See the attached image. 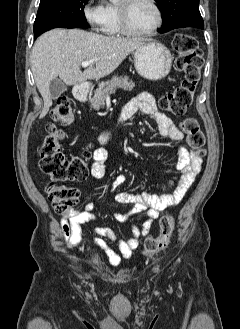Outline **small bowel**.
I'll use <instances>...</instances> for the list:
<instances>
[{
	"mask_svg": "<svg viewBox=\"0 0 240 329\" xmlns=\"http://www.w3.org/2000/svg\"><path fill=\"white\" fill-rule=\"evenodd\" d=\"M150 116L157 125L158 132L162 137L168 138L175 143H180L183 133L176 127L172 120L158 107L155 98L148 92H141L130 100L120 111L117 123L131 119L136 113ZM113 127L104 130L100 135V141L104 147L94 150L90 166L91 176L102 178L106 173V160ZM202 158L194 150H188L183 145L179 148V157L175 162V168L181 173L180 177L171 183L170 191L161 195L132 193L127 191L118 192L115 200L120 204L132 205L127 213H115L119 222H126L132 216L145 213V219L141 227L131 226V236L121 238L109 227H97L94 229V245L104 251L108 262L113 267H118L124 260L131 258L133 251L139 246L141 240L148 234L152 223L159 217L161 211L178 205L193 183L195 177L201 171ZM126 182L125 175H118L109 185V190H114ZM94 204L88 202L82 210L73 211L68 220L61 222V231L71 249L77 248L81 243L82 225L97 220L93 213ZM111 244H114V248Z\"/></svg>",
	"mask_w": 240,
	"mask_h": 329,
	"instance_id": "1",
	"label": "small bowel"
}]
</instances>
